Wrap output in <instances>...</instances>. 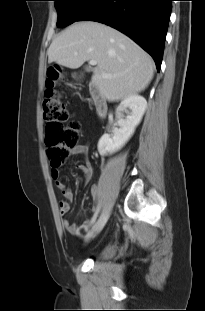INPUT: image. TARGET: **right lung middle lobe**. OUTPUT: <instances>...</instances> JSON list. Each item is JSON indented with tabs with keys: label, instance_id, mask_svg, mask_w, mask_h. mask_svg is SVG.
Wrapping results in <instances>:
<instances>
[{
	"label": "right lung middle lobe",
	"instance_id": "dd1d6c3e",
	"mask_svg": "<svg viewBox=\"0 0 205 311\" xmlns=\"http://www.w3.org/2000/svg\"><path fill=\"white\" fill-rule=\"evenodd\" d=\"M58 12V27H65L77 21L98 0H53Z\"/></svg>",
	"mask_w": 205,
	"mask_h": 311
}]
</instances>
